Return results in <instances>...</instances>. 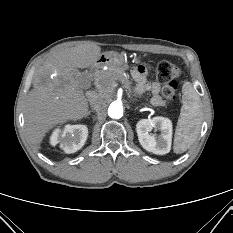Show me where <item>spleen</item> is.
Here are the masks:
<instances>
[{
    "mask_svg": "<svg viewBox=\"0 0 233 233\" xmlns=\"http://www.w3.org/2000/svg\"><path fill=\"white\" fill-rule=\"evenodd\" d=\"M182 108L178 119L173 150L180 154L188 150L196 141L202 124L201 101L192 83L182 86Z\"/></svg>",
    "mask_w": 233,
    "mask_h": 233,
    "instance_id": "3e777b00",
    "label": "spleen"
}]
</instances>
